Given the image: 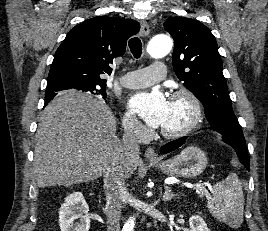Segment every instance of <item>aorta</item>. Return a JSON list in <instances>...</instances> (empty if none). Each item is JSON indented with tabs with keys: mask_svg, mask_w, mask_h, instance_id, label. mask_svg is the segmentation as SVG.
Returning a JSON list of instances; mask_svg holds the SVG:
<instances>
[{
	"mask_svg": "<svg viewBox=\"0 0 268 231\" xmlns=\"http://www.w3.org/2000/svg\"><path fill=\"white\" fill-rule=\"evenodd\" d=\"M172 39L167 35H157L153 37L147 47V53L155 59L163 58L172 49ZM135 218L130 217L123 226V231H134Z\"/></svg>",
	"mask_w": 268,
	"mask_h": 231,
	"instance_id": "1",
	"label": "aorta"
}]
</instances>
